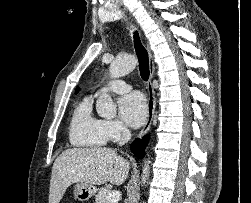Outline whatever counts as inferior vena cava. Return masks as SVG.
Instances as JSON below:
<instances>
[{"label":"inferior vena cava","instance_id":"inferior-vena-cava-1","mask_svg":"<svg viewBox=\"0 0 251 203\" xmlns=\"http://www.w3.org/2000/svg\"><path fill=\"white\" fill-rule=\"evenodd\" d=\"M121 131H122V139L119 142L120 146L124 145L125 143H127L131 139V132L128 128L122 127Z\"/></svg>","mask_w":251,"mask_h":203}]
</instances>
